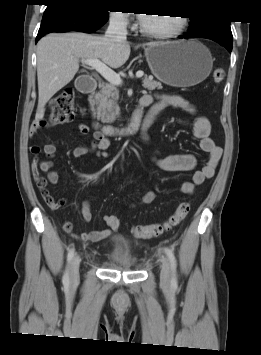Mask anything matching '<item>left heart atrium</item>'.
Returning <instances> with one entry per match:
<instances>
[{"label":"left heart atrium","instance_id":"1","mask_svg":"<svg viewBox=\"0 0 261 355\" xmlns=\"http://www.w3.org/2000/svg\"><path fill=\"white\" fill-rule=\"evenodd\" d=\"M144 17H145V16H140L141 22H142V20L144 19Z\"/></svg>","mask_w":261,"mask_h":355}]
</instances>
